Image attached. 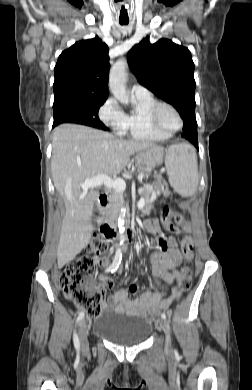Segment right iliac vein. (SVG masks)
I'll use <instances>...</instances> for the list:
<instances>
[{
	"instance_id": "63e3f726",
	"label": "right iliac vein",
	"mask_w": 252,
	"mask_h": 390,
	"mask_svg": "<svg viewBox=\"0 0 252 390\" xmlns=\"http://www.w3.org/2000/svg\"><path fill=\"white\" fill-rule=\"evenodd\" d=\"M88 332H89V326L87 322L85 320H81L79 322L78 333H79L81 346L84 350L88 348Z\"/></svg>"
}]
</instances>
